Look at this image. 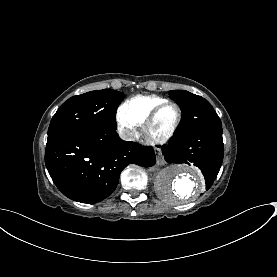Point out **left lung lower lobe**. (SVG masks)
<instances>
[{"label": "left lung lower lobe", "mask_w": 277, "mask_h": 277, "mask_svg": "<svg viewBox=\"0 0 277 277\" xmlns=\"http://www.w3.org/2000/svg\"><path fill=\"white\" fill-rule=\"evenodd\" d=\"M162 153L168 163H192L197 166L204 175L208 190L223 161L222 126H210L178 134L172 142L162 146Z\"/></svg>", "instance_id": "1"}]
</instances>
